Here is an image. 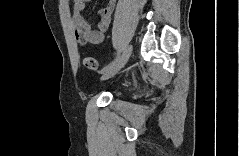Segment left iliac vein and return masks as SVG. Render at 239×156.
<instances>
[{"instance_id": "obj_1", "label": "left iliac vein", "mask_w": 239, "mask_h": 156, "mask_svg": "<svg viewBox=\"0 0 239 156\" xmlns=\"http://www.w3.org/2000/svg\"><path fill=\"white\" fill-rule=\"evenodd\" d=\"M132 49H133L132 45H129L124 50L123 54L121 55L117 63L102 74L101 80H107L116 75L119 72V70L127 63L129 57L131 56Z\"/></svg>"}]
</instances>
